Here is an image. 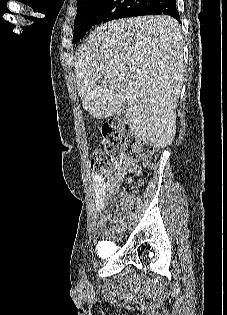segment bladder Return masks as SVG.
Masks as SVG:
<instances>
[{"mask_svg": "<svg viewBox=\"0 0 227 315\" xmlns=\"http://www.w3.org/2000/svg\"><path fill=\"white\" fill-rule=\"evenodd\" d=\"M111 251L108 249L107 245H101L99 249V254L100 255H109Z\"/></svg>", "mask_w": 227, "mask_h": 315, "instance_id": "obj_1", "label": "bladder"}]
</instances>
